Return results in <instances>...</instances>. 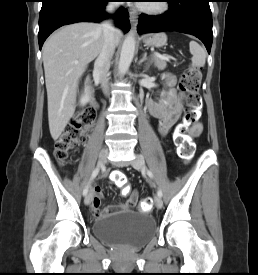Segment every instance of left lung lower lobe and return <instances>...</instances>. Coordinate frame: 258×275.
Wrapping results in <instances>:
<instances>
[{
    "mask_svg": "<svg viewBox=\"0 0 258 275\" xmlns=\"http://www.w3.org/2000/svg\"><path fill=\"white\" fill-rule=\"evenodd\" d=\"M169 10L160 16L141 14L138 32L178 31L199 38L210 53L213 41L209 0H169Z\"/></svg>",
    "mask_w": 258,
    "mask_h": 275,
    "instance_id": "0a47b994",
    "label": "left lung lower lobe"
}]
</instances>
